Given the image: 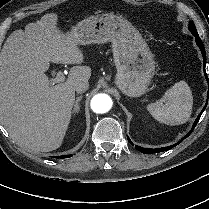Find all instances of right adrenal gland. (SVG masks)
<instances>
[{
  "label": "right adrenal gland",
  "instance_id": "obj_1",
  "mask_svg": "<svg viewBox=\"0 0 209 209\" xmlns=\"http://www.w3.org/2000/svg\"><path fill=\"white\" fill-rule=\"evenodd\" d=\"M81 99H82V96H79V97L76 98L75 104H74L73 109H72L73 114H76V113L79 112Z\"/></svg>",
  "mask_w": 209,
  "mask_h": 209
}]
</instances>
